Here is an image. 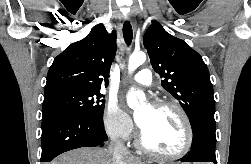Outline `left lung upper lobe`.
I'll return each instance as SVG.
<instances>
[{
	"mask_svg": "<svg viewBox=\"0 0 251 164\" xmlns=\"http://www.w3.org/2000/svg\"><path fill=\"white\" fill-rule=\"evenodd\" d=\"M143 43L153 69L164 78L162 87L179 101L192 129L200 122L215 124L213 87L202 57L159 23L149 26Z\"/></svg>",
	"mask_w": 251,
	"mask_h": 164,
	"instance_id": "1",
	"label": "left lung upper lobe"
}]
</instances>
